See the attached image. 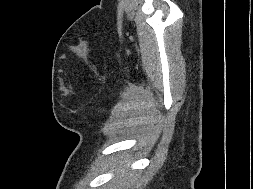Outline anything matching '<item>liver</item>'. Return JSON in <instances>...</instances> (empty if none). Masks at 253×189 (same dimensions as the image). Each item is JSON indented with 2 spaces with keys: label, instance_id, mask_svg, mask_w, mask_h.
I'll return each instance as SVG.
<instances>
[{
  "label": "liver",
  "instance_id": "6515ba94",
  "mask_svg": "<svg viewBox=\"0 0 253 189\" xmlns=\"http://www.w3.org/2000/svg\"><path fill=\"white\" fill-rule=\"evenodd\" d=\"M122 168H123V167H122V166H120V167H119V170H121ZM124 176H125L124 174H122V175L118 176V177H117V180L121 179V177H124Z\"/></svg>",
  "mask_w": 253,
  "mask_h": 189
}]
</instances>
